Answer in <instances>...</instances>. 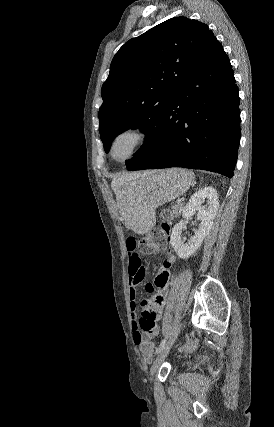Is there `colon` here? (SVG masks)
<instances>
[{
    "mask_svg": "<svg viewBox=\"0 0 274 427\" xmlns=\"http://www.w3.org/2000/svg\"><path fill=\"white\" fill-rule=\"evenodd\" d=\"M172 217V212L169 209H165L163 212V220L160 226H155L151 231L141 238V244L139 247L140 259L147 258L152 252H155L156 248H167L168 235H169V223L168 221ZM145 345L140 346V353L143 355L139 356L140 364H147L148 360H153V343L145 342ZM196 346V341L192 338L187 339L183 344L185 351H191Z\"/></svg>",
    "mask_w": 274,
    "mask_h": 427,
    "instance_id": "colon-1",
    "label": "colon"
}]
</instances>
